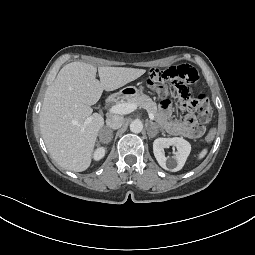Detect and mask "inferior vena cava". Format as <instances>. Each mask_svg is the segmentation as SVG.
Masks as SVG:
<instances>
[{"label": "inferior vena cava", "instance_id": "obj_1", "mask_svg": "<svg viewBox=\"0 0 255 255\" xmlns=\"http://www.w3.org/2000/svg\"><path fill=\"white\" fill-rule=\"evenodd\" d=\"M124 123V118L119 115H111L106 119V124L112 129H119Z\"/></svg>", "mask_w": 255, "mask_h": 255}]
</instances>
